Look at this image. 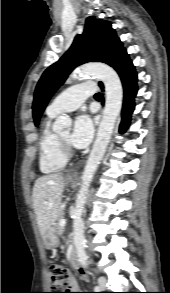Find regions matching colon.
I'll return each instance as SVG.
<instances>
[{
	"label": "colon",
	"instance_id": "1",
	"mask_svg": "<svg viewBox=\"0 0 170 293\" xmlns=\"http://www.w3.org/2000/svg\"><path fill=\"white\" fill-rule=\"evenodd\" d=\"M48 272L54 291L51 293H62L59 291H62L70 284L66 267L59 262L52 261L49 264Z\"/></svg>",
	"mask_w": 170,
	"mask_h": 293
}]
</instances>
